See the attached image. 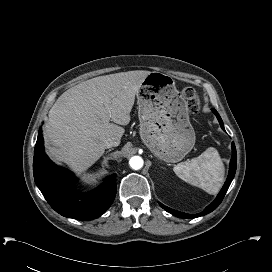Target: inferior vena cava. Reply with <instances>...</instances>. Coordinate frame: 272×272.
I'll use <instances>...</instances> for the list:
<instances>
[{
  "label": "inferior vena cava",
  "instance_id": "602c4592",
  "mask_svg": "<svg viewBox=\"0 0 272 272\" xmlns=\"http://www.w3.org/2000/svg\"><path fill=\"white\" fill-rule=\"evenodd\" d=\"M118 145H119V143L111 138L106 139L104 142L105 148L116 147Z\"/></svg>",
  "mask_w": 272,
  "mask_h": 272
}]
</instances>
